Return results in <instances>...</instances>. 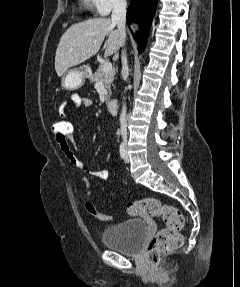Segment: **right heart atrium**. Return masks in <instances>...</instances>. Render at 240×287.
Listing matches in <instances>:
<instances>
[{
	"mask_svg": "<svg viewBox=\"0 0 240 287\" xmlns=\"http://www.w3.org/2000/svg\"><path fill=\"white\" fill-rule=\"evenodd\" d=\"M95 13L100 16H107L114 10L123 8L126 0H92Z\"/></svg>",
	"mask_w": 240,
	"mask_h": 287,
	"instance_id": "d8ad5b80",
	"label": "right heart atrium"
}]
</instances>
